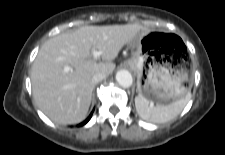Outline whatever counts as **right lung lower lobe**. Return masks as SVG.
Here are the masks:
<instances>
[{"label": "right lung lower lobe", "instance_id": "1", "mask_svg": "<svg viewBox=\"0 0 225 155\" xmlns=\"http://www.w3.org/2000/svg\"><path fill=\"white\" fill-rule=\"evenodd\" d=\"M91 116H92V113L90 114V116L84 122H82L81 124H79V126L85 125L90 120Z\"/></svg>", "mask_w": 225, "mask_h": 155}]
</instances>
